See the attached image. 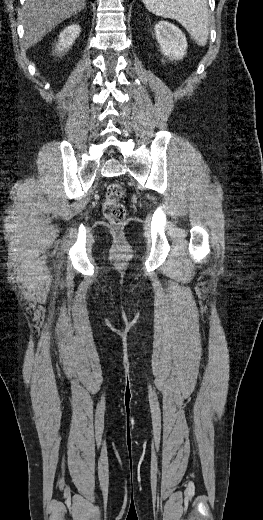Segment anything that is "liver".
Returning a JSON list of instances; mask_svg holds the SVG:
<instances>
[{
  "label": "liver",
  "mask_w": 263,
  "mask_h": 520,
  "mask_svg": "<svg viewBox=\"0 0 263 520\" xmlns=\"http://www.w3.org/2000/svg\"><path fill=\"white\" fill-rule=\"evenodd\" d=\"M86 0H25L22 8L23 43L26 48L41 41L64 20L84 9Z\"/></svg>",
  "instance_id": "liver-1"
}]
</instances>
